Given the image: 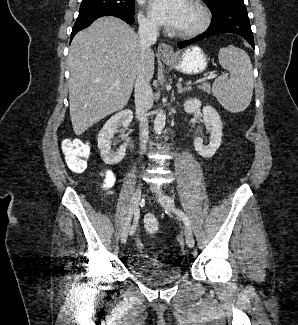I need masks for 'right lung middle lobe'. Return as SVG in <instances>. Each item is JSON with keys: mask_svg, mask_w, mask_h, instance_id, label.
I'll list each match as a JSON object with an SVG mask.
<instances>
[{"mask_svg": "<svg viewBox=\"0 0 298 325\" xmlns=\"http://www.w3.org/2000/svg\"><path fill=\"white\" fill-rule=\"evenodd\" d=\"M104 10L134 15V0H82L79 16L86 17Z\"/></svg>", "mask_w": 298, "mask_h": 325, "instance_id": "1", "label": "right lung middle lobe"}]
</instances>
